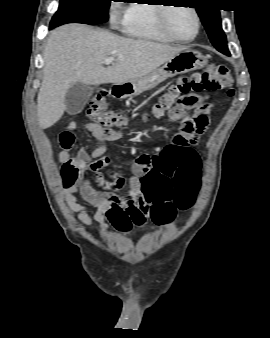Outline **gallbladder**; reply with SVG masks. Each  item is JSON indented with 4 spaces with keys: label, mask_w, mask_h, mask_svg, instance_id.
Returning a JSON list of instances; mask_svg holds the SVG:
<instances>
[{
    "label": "gallbladder",
    "mask_w": 270,
    "mask_h": 338,
    "mask_svg": "<svg viewBox=\"0 0 270 338\" xmlns=\"http://www.w3.org/2000/svg\"><path fill=\"white\" fill-rule=\"evenodd\" d=\"M94 92V87L83 83L73 84L65 95L67 112L71 115L80 113Z\"/></svg>",
    "instance_id": "obj_1"
}]
</instances>
